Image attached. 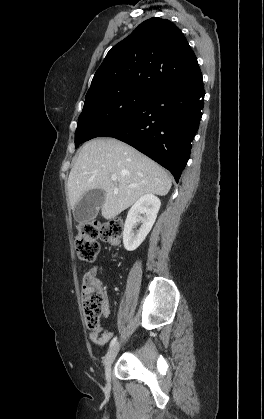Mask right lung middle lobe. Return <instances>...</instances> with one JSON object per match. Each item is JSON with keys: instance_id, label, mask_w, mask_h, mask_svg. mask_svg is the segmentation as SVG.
<instances>
[{"instance_id": "dd1d6c3e", "label": "right lung middle lobe", "mask_w": 264, "mask_h": 419, "mask_svg": "<svg viewBox=\"0 0 264 419\" xmlns=\"http://www.w3.org/2000/svg\"><path fill=\"white\" fill-rule=\"evenodd\" d=\"M152 91L138 87L102 89L86 95L78 119L75 148L131 116L151 95Z\"/></svg>"}]
</instances>
